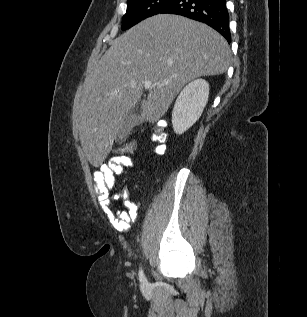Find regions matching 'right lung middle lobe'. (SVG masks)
<instances>
[{
    "mask_svg": "<svg viewBox=\"0 0 307 317\" xmlns=\"http://www.w3.org/2000/svg\"><path fill=\"white\" fill-rule=\"evenodd\" d=\"M173 0H127V11L122 18V30L161 13Z\"/></svg>",
    "mask_w": 307,
    "mask_h": 317,
    "instance_id": "1",
    "label": "right lung middle lobe"
}]
</instances>
